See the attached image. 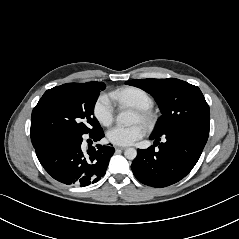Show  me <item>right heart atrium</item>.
Masks as SVG:
<instances>
[{"label":"right heart atrium","instance_id":"d8ad5b80","mask_svg":"<svg viewBox=\"0 0 239 239\" xmlns=\"http://www.w3.org/2000/svg\"><path fill=\"white\" fill-rule=\"evenodd\" d=\"M93 113L102 125H110L114 118V105L111 98L105 94L100 95L95 101Z\"/></svg>","mask_w":239,"mask_h":239}]
</instances>
